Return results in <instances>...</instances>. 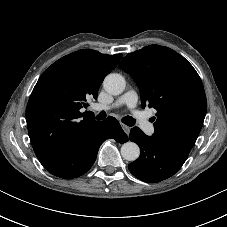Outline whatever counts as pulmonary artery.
<instances>
[{
	"label": "pulmonary artery",
	"mask_w": 227,
	"mask_h": 227,
	"mask_svg": "<svg viewBox=\"0 0 227 227\" xmlns=\"http://www.w3.org/2000/svg\"><path fill=\"white\" fill-rule=\"evenodd\" d=\"M138 102V95L134 90H129L124 93L121 97H119L112 105H102L98 104L95 106V109L98 111L101 110H109L115 107H119L122 105H126L129 109H135ZM135 115L139 118L140 124L144 132L148 135L153 134L154 127L153 125L147 120L145 115L137 110H134Z\"/></svg>",
	"instance_id": "e3ab8cb5"
}]
</instances>
